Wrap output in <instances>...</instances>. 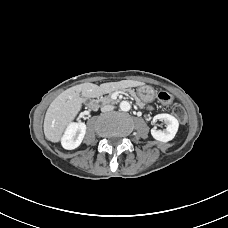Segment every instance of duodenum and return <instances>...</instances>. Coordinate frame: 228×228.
<instances>
[{
  "label": "duodenum",
  "mask_w": 228,
  "mask_h": 228,
  "mask_svg": "<svg viewBox=\"0 0 228 228\" xmlns=\"http://www.w3.org/2000/svg\"><path fill=\"white\" fill-rule=\"evenodd\" d=\"M90 106H91L92 108H95V107H96V102H95V100H92V101L90 102Z\"/></svg>",
  "instance_id": "duodenum-1"
}]
</instances>
